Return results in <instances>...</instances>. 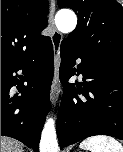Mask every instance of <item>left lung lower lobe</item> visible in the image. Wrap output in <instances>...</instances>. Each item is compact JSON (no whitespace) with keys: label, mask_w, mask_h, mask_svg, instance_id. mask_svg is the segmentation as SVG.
Listing matches in <instances>:
<instances>
[{"label":"left lung lower lobe","mask_w":123,"mask_h":152,"mask_svg":"<svg viewBox=\"0 0 123 152\" xmlns=\"http://www.w3.org/2000/svg\"><path fill=\"white\" fill-rule=\"evenodd\" d=\"M61 82L65 84L57 120L60 148L95 135H108L123 140V68L101 63L75 48L61 44ZM81 58L83 88L67 81L70 69ZM76 72V69H75ZM77 93L85 99H80Z\"/></svg>","instance_id":"1"}]
</instances>
